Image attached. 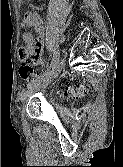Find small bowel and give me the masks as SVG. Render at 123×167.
<instances>
[{
    "instance_id": "1",
    "label": "small bowel",
    "mask_w": 123,
    "mask_h": 167,
    "mask_svg": "<svg viewBox=\"0 0 123 167\" xmlns=\"http://www.w3.org/2000/svg\"><path fill=\"white\" fill-rule=\"evenodd\" d=\"M21 26L34 27L37 38L34 39L30 32H25L22 35V41L26 44V47L29 50V54L32 57V64L35 66L41 65L43 62L44 46L47 42V35L43 27L32 13L25 14Z\"/></svg>"
}]
</instances>
